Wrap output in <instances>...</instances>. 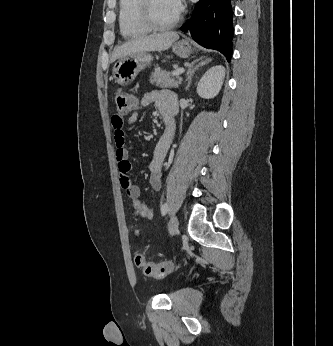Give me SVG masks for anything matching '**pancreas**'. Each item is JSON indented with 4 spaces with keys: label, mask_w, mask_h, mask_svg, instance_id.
<instances>
[{
    "label": "pancreas",
    "mask_w": 333,
    "mask_h": 346,
    "mask_svg": "<svg viewBox=\"0 0 333 346\" xmlns=\"http://www.w3.org/2000/svg\"><path fill=\"white\" fill-rule=\"evenodd\" d=\"M173 73V72H172ZM172 73L167 71H162L159 67L151 75L150 83L155 84L161 88H177L181 83V78H173Z\"/></svg>",
    "instance_id": "1"
}]
</instances>
